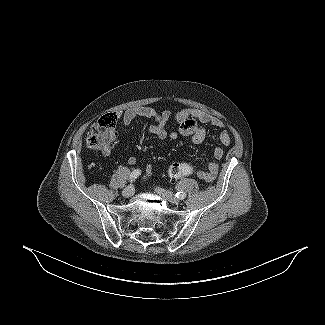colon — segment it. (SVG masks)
<instances>
[{
  "instance_id": "5ec220e1",
  "label": "colon",
  "mask_w": 325,
  "mask_h": 325,
  "mask_svg": "<svg viewBox=\"0 0 325 325\" xmlns=\"http://www.w3.org/2000/svg\"><path fill=\"white\" fill-rule=\"evenodd\" d=\"M116 116L113 113L102 115L91 127L87 135V145L95 150L109 148L116 137ZM194 167L185 162L173 163L168 168V175L171 179H178L191 175Z\"/></svg>"
}]
</instances>
